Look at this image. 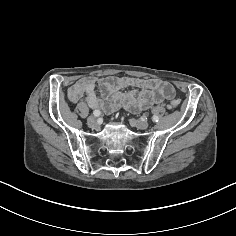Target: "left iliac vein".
<instances>
[{
	"instance_id": "obj_1",
	"label": "left iliac vein",
	"mask_w": 236,
	"mask_h": 236,
	"mask_svg": "<svg viewBox=\"0 0 236 236\" xmlns=\"http://www.w3.org/2000/svg\"><path fill=\"white\" fill-rule=\"evenodd\" d=\"M132 123L138 129H146L148 127V123L142 120H132Z\"/></svg>"
}]
</instances>
